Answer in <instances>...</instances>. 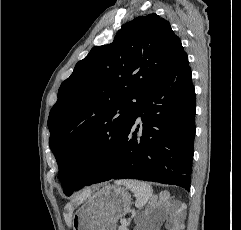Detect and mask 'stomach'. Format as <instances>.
I'll return each mask as SVG.
<instances>
[{
    "mask_svg": "<svg viewBox=\"0 0 241 230\" xmlns=\"http://www.w3.org/2000/svg\"><path fill=\"white\" fill-rule=\"evenodd\" d=\"M131 207L127 189L117 185L97 188L92 196L76 211L73 230H116L117 221Z\"/></svg>",
    "mask_w": 241,
    "mask_h": 230,
    "instance_id": "obj_1",
    "label": "stomach"
}]
</instances>
